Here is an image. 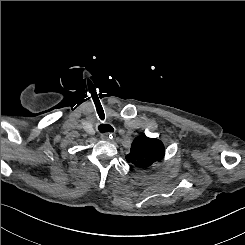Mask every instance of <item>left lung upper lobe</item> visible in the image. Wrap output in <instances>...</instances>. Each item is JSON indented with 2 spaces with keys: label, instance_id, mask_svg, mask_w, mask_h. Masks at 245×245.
<instances>
[{
  "label": "left lung upper lobe",
  "instance_id": "left-lung-upper-lobe-1",
  "mask_svg": "<svg viewBox=\"0 0 245 245\" xmlns=\"http://www.w3.org/2000/svg\"><path fill=\"white\" fill-rule=\"evenodd\" d=\"M164 155L165 148L160 140L141 135L132 142L131 152L126 160L136 167L147 168L155 162H161Z\"/></svg>",
  "mask_w": 245,
  "mask_h": 245
}]
</instances>
